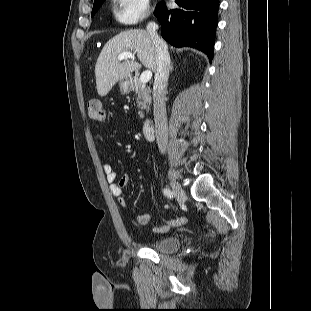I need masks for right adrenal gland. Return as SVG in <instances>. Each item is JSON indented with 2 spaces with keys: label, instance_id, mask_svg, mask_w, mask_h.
Wrapping results in <instances>:
<instances>
[{
  "label": "right adrenal gland",
  "instance_id": "obj_1",
  "mask_svg": "<svg viewBox=\"0 0 311 311\" xmlns=\"http://www.w3.org/2000/svg\"><path fill=\"white\" fill-rule=\"evenodd\" d=\"M173 69V63H171L170 71L172 72Z\"/></svg>",
  "mask_w": 311,
  "mask_h": 311
}]
</instances>
